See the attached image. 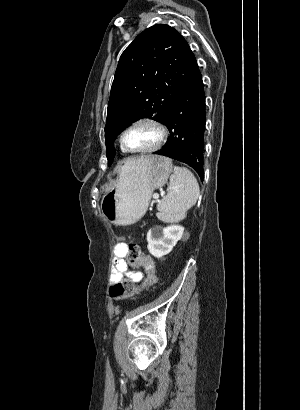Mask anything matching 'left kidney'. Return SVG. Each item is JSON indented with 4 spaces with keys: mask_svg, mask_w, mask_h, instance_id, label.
Instances as JSON below:
<instances>
[{
    "mask_svg": "<svg viewBox=\"0 0 300 410\" xmlns=\"http://www.w3.org/2000/svg\"><path fill=\"white\" fill-rule=\"evenodd\" d=\"M183 232L184 227L180 225L150 229L147 233V247L149 252L157 258L167 255L182 238Z\"/></svg>",
    "mask_w": 300,
    "mask_h": 410,
    "instance_id": "obj_1",
    "label": "left kidney"
}]
</instances>
